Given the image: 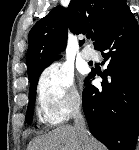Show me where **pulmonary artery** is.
Returning a JSON list of instances; mask_svg holds the SVG:
<instances>
[{
	"instance_id": "pulmonary-artery-1",
	"label": "pulmonary artery",
	"mask_w": 139,
	"mask_h": 150,
	"mask_svg": "<svg viewBox=\"0 0 139 150\" xmlns=\"http://www.w3.org/2000/svg\"><path fill=\"white\" fill-rule=\"evenodd\" d=\"M81 56L86 60H93L96 58V53L91 48L85 47L81 52Z\"/></svg>"
}]
</instances>
